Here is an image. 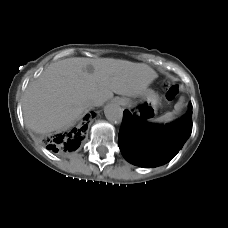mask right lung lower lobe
I'll return each instance as SVG.
<instances>
[{"label":"right lung lower lobe","instance_id":"1","mask_svg":"<svg viewBox=\"0 0 228 228\" xmlns=\"http://www.w3.org/2000/svg\"><path fill=\"white\" fill-rule=\"evenodd\" d=\"M95 116L92 113V118ZM90 114H87L83 118V122L78 124L70 131L62 134L48 136L44 139V144L48 150L59 155H66L76 150L81 141L83 140L84 134L87 130V121Z\"/></svg>","mask_w":228,"mask_h":228}]
</instances>
